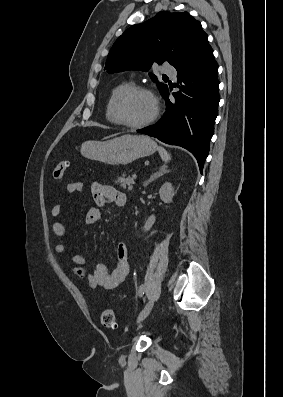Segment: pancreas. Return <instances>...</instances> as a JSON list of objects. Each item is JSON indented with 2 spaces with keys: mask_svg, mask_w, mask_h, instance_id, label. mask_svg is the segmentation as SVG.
I'll return each mask as SVG.
<instances>
[{
  "mask_svg": "<svg viewBox=\"0 0 283 397\" xmlns=\"http://www.w3.org/2000/svg\"><path fill=\"white\" fill-rule=\"evenodd\" d=\"M115 183L119 184L124 189H127L130 191V190H132V187H133L135 181L130 176H126L125 174H123L122 176L118 177L115 180Z\"/></svg>",
  "mask_w": 283,
  "mask_h": 397,
  "instance_id": "pancreas-1",
  "label": "pancreas"
}]
</instances>
